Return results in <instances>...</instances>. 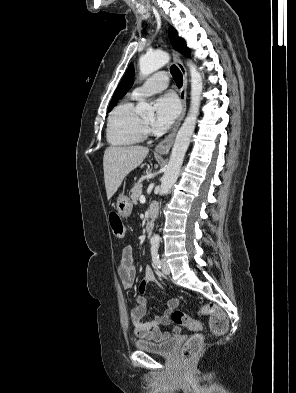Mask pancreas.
I'll list each match as a JSON object with an SVG mask.
<instances>
[{"mask_svg": "<svg viewBox=\"0 0 296 393\" xmlns=\"http://www.w3.org/2000/svg\"><path fill=\"white\" fill-rule=\"evenodd\" d=\"M131 192L132 203L137 204L140 196L142 195V184H134Z\"/></svg>", "mask_w": 296, "mask_h": 393, "instance_id": "1", "label": "pancreas"}]
</instances>
